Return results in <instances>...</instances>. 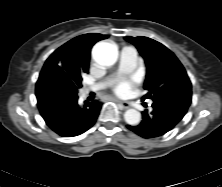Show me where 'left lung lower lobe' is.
<instances>
[{"instance_id": "obj_1", "label": "left lung lower lobe", "mask_w": 222, "mask_h": 187, "mask_svg": "<svg viewBox=\"0 0 222 187\" xmlns=\"http://www.w3.org/2000/svg\"><path fill=\"white\" fill-rule=\"evenodd\" d=\"M191 96L192 91L188 89L161 94L153 99L151 113L142 112L143 120L139 125L127 127L143 138L162 136L184 117L191 104Z\"/></svg>"}]
</instances>
